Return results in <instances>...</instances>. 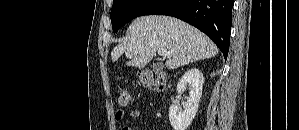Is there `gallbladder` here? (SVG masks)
I'll list each match as a JSON object with an SVG mask.
<instances>
[{
    "label": "gallbladder",
    "instance_id": "1",
    "mask_svg": "<svg viewBox=\"0 0 299 130\" xmlns=\"http://www.w3.org/2000/svg\"><path fill=\"white\" fill-rule=\"evenodd\" d=\"M153 69H155V70H157V69H161L162 68V64H160V63H155V64H153Z\"/></svg>",
    "mask_w": 299,
    "mask_h": 130
}]
</instances>
